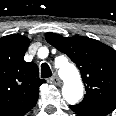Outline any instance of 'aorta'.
<instances>
[{"label": "aorta", "instance_id": "1", "mask_svg": "<svg viewBox=\"0 0 116 116\" xmlns=\"http://www.w3.org/2000/svg\"><path fill=\"white\" fill-rule=\"evenodd\" d=\"M59 73L64 81L63 98L71 105L76 104L82 98L84 90L78 70L73 64L66 61L60 66Z\"/></svg>", "mask_w": 116, "mask_h": 116}]
</instances>
